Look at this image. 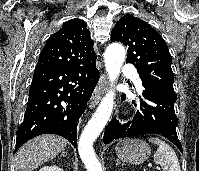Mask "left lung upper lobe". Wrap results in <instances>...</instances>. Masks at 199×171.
<instances>
[{"mask_svg": "<svg viewBox=\"0 0 199 171\" xmlns=\"http://www.w3.org/2000/svg\"><path fill=\"white\" fill-rule=\"evenodd\" d=\"M111 41L128 46L126 62L137 68L142 85L176 96L169 50L161 35L147 22L132 15L123 16L111 32Z\"/></svg>", "mask_w": 199, "mask_h": 171, "instance_id": "5c2ea615", "label": "left lung upper lobe"}]
</instances>
